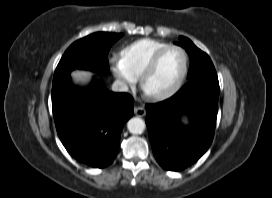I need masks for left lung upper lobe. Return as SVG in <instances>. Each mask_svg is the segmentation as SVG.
<instances>
[{"label":"left lung upper lobe","instance_id":"left-lung-upper-lobe-1","mask_svg":"<svg viewBox=\"0 0 272 198\" xmlns=\"http://www.w3.org/2000/svg\"><path fill=\"white\" fill-rule=\"evenodd\" d=\"M180 46L185 48L190 57V69L188 79H192L198 76L216 74L214 65L210 57L199 48H197L193 42L183 36L179 37Z\"/></svg>","mask_w":272,"mask_h":198}]
</instances>
